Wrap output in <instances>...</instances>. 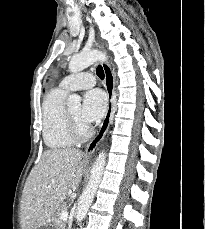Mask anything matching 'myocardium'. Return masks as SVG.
Listing matches in <instances>:
<instances>
[{"mask_svg": "<svg viewBox=\"0 0 205 229\" xmlns=\"http://www.w3.org/2000/svg\"><path fill=\"white\" fill-rule=\"evenodd\" d=\"M66 119L67 127L71 137L75 141L86 140L92 133V130L89 126L81 124L70 112L69 109H66Z\"/></svg>", "mask_w": 205, "mask_h": 229, "instance_id": "myocardium-1", "label": "myocardium"}]
</instances>
